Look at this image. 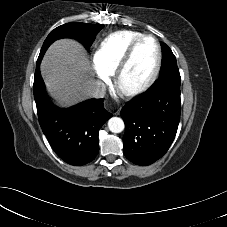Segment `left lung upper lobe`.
Returning a JSON list of instances; mask_svg holds the SVG:
<instances>
[{
  "label": "left lung upper lobe",
  "mask_w": 227,
  "mask_h": 227,
  "mask_svg": "<svg viewBox=\"0 0 227 227\" xmlns=\"http://www.w3.org/2000/svg\"><path fill=\"white\" fill-rule=\"evenodd\" d=\"M161 47L163 50V64L159 78L154 85H171L180 88L181 77L177 67L176 57L165 43H161Z\"/></svg>",
  "instance_id": "obj_1"
}]
</instances>
